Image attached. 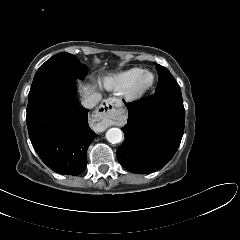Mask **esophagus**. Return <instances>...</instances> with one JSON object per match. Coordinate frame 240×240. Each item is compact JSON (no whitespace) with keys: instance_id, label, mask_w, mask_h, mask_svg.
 Returning a JSON list of instances; mask_svg holds the SVG:
<instances>
[{"instance_id":"34e87169","label":"esophagus","mask_w":240,"mask_h":240,"mask_svg":"<svg viewBox=\"0 0 240 240\" xmlns=\"http://www.w3.org/2000/svg\"><path fill=\"white\" fill-rule=\"evenodd\" d=\"M120 102L115 98L104 100L95 112V120L104 128L111 126L115 118V108L119 107Z\"/></svg>"}]
</instances>
